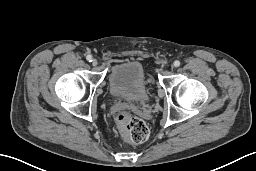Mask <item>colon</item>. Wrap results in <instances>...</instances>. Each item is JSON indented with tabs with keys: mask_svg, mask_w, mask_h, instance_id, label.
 <instances>
[{
	"mask_svg": "<svg viewBox=\"0 0 256 171\" xmlns=\"http://www.w3.org/2000/svg\"><path fill=\"white\" fill-rule=\"evenodd\" d=\"M115 122L120 134L126 141L142 143L147 140L149 129L142 119L128 112H121L116 116Z\"/></svg>",
	"mask_w": 256,
	"mask_h": 171,
	"instance_id": "5ec220e1",
	"label": "colon"
}]
</instances>
